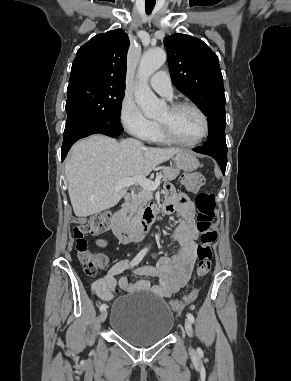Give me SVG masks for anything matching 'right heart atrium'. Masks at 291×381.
<instances>
[{
    "label": "right heart atrium",
    "instance_id": "obj_1",
    "mask_svg": "<svg viewBox=\"0 0 291 381\" xmlns=\"http://www.w3.org/2000/svg\"><path fill=\"white\" fill-rule=\"evenodd\" d=\"M119 117L124 129L140 139H147L155 128V123L146 118L137 103L128 96L121 102Z\"/></svg>",
    "mask_w": 291,
    "mask_h": 381
}]
</instances>
